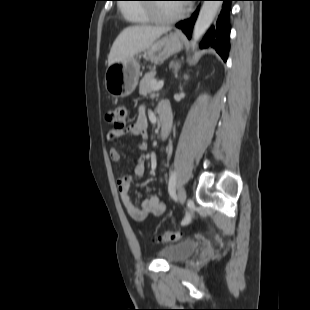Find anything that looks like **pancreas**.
<instances>
[{"label":"pancreas","mask_w":310,"mask_h":310,"mask_svg":"<svg viewBox=\"0 0 310 310\" xmlns=\"http://www.w3.org/2000/svg\"><path fill=\"white\" fill-rule=\"evenodd\" d=\"M156 83L155 72L151 71L146 73L140 81L139 94L146 96L147 94L152 93V91H154L153 87Z\"/></svg>","instance_id":"cf45deb5"}]
</instances>
